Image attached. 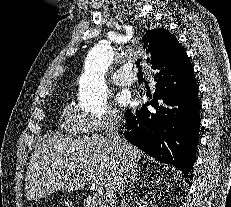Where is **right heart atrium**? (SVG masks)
Returning <instances> with one entry per match:
<instances>
[{
  "instance_id": "obj_1",
  "label": "right heart atrium",
  "mask_w": 231,
  "mask_h": 207,
  "mask_svg": "<svg viewBox=\"0 0 231 207\" xmlns=\"http://www.w3.org/2000/svg\"><path fill=\"white\" fill-rule=\"evenodd\" d=\"M120 120L119 113L115 108L109 107L104 113L86 116L89 132H100L114 128Z\"/></svg>"
}]
</instances>
